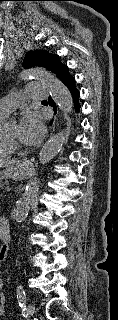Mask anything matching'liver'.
I'll use <instances>...</instances> for the list:
<instances>
[{
  "mask_svg": "<svg viewBox=\"0 0 118 320\" xmlns=\"http://www.w3.org/2000/svg\"><path fill=\"white\" fill-rule=\"evenodd\" d=\"M16 163V160L12 159H0V168Z\"/></svg>",
  "mask_w": 118,
  "mask_h": 320,
  "instance_id": "6515ba94",
  "label": "liver"
}]
</instances>
